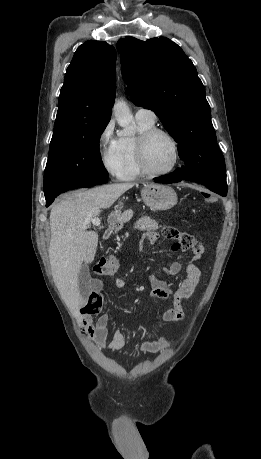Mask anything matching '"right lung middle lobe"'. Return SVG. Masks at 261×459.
Listing matches in <instances>:
<instances>
[{
	"label": "right lung middle lobe",
	"instance_id": "right-lung-middle-lobe-1",
	"mask_svg": "<svg viewBox=\"0 0 261 459\" xmlns=\"http://www.w3.org/2000/svg\"><path fill=\"white\" fill-rule=\"evenodd\" d=\"M107 124L52 137L44 173L45 198L79 183L108 178L98 147Z\"/></svg>",
	"mask_w": 261,
	"mask_h": 459
}]
</instances>
